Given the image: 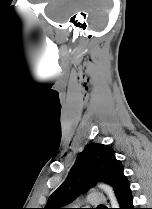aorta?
<instances>
[{
	"instance_id": "obj_1",
	"label": "aorta",
	"mask_w": 152,
	"mask_h": 209,
	"mask_svg": "<svg viewBox=\"0 0 152 209\" xmlns=\"http://www.w3.org/2000/svg\"><path fill=\"white\" fill-rule=\"evenodd\" d=\"M98 187L101 188L108 196L112 208H118L119 204L115 197L113 189L106 184H98Z\"/></svg>"
}]
</instances>
